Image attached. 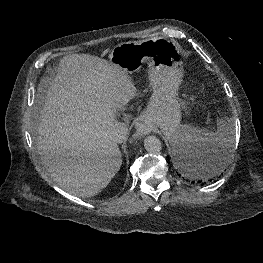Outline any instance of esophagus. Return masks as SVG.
I'll use <instances>...</instances> for the list:
<instances>
[{
    "instance_id": "esophagus-1",
    "label": "esophagus",
    "mask_w": 263,
    "mask_h": 263,
    "mask_svg": "<svg viewBox=\"0 0 263 263\" xmlns=\"http://www.w3.org/2000/svg\"><path fill=\"white\" fill-rule=\"evenodd\" d=\"M135 129H136V135L138 136L146 135L151 131L150 126L143 121L136 122Z\"/></svg>"
}]
</instances>
